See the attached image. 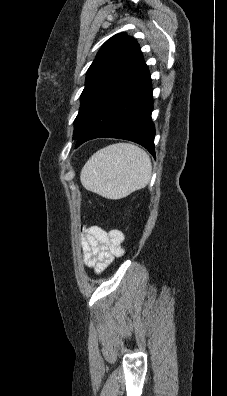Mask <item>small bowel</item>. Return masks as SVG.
<instances>
[{
	"label": "small bowel",
	"instance_id": "obj_1",
	"mask_svg": "<svg viewBox=\"0 0 227 396\" xmlns=\"http://www.w3.org/2000/svg\"><path fill=\"white\" fill-rule=\"evenodd\" d=\"M123 241L124 235L119 230L106 231L99 226L84 228L80 243L85 265L100 274L123 254Z\"/></svg>",
	"mask_w": 227,
	"mask_h": 396
}]
</instances>
